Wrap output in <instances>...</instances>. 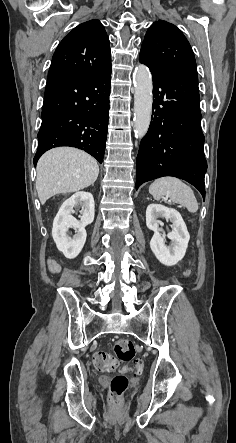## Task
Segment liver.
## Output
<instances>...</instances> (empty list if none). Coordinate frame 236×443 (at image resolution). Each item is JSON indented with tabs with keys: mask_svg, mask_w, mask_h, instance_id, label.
<instances>
[{
	"mask_svg": "<svg viewBox=\"0 0 236 443\" xmlns=\"http://www.w3.org/2000/svg\"><path fill=\"white\" fill-rule=\"evenodd\" d=\"M36 169V189L41 204L56 194L87 188L99 174V166L92 156L71 147L49 150L39 159Z\"/></svg>",
	"mask_w": 236,
	"mask_h": 443,
	"instance_id": "obj_1",
	"label": "liver"
}]
</instances>
